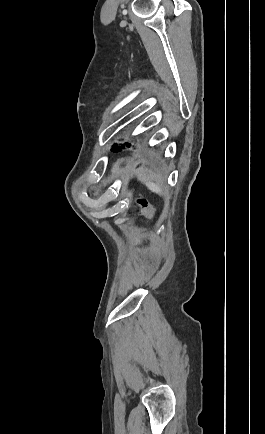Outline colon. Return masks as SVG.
Listing matches in <instances>:
<instances>
[{"label":"colon","mask_w":265,"mask_h":434,"mask_svg":"<svg viewBox=\"0 0 265 434\" xmlns=\"http://www.w3.org/2000/svg\"><path fill=\"white\" fill-rule=\"evenodd\" d=\"M135 209L140 210L147 218L153 219L155 211L152 209L150 202L145 197H139L136 200Z\"/></svg>","instance_id":"1"}]
</instances>
